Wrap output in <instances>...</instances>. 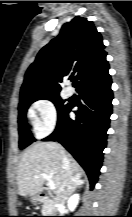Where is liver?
Returning a JSON list of instances; mask_svg holds the SVG:
<instances>
[{
  "instance_id": "6515ba94",
  "label": "liver",
  "mask_w": 132,
  "mask_h": 217,
  "mask_svg": "<svg viewBox=\"0 0 132 217\" xmlns=\"http://www.w3.org/2000/svg\"><path fill=\"white\" fill-rule=\"evenodd\" d=\"M62 149V146L55 142H38L25 150L17 169V186L20 196L32 197L40 192L45 179L34 176L41 174H47L51 178L55 184V191L58 192L63 181ZM65 154L69 159L70 172L75 177L80 173L81 168L70 154L66 152Z\"/></svg>"
}]
</instances>
